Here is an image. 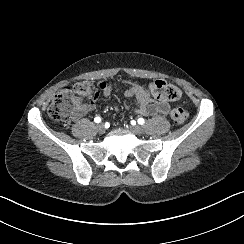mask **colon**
<instances>
[{
    "mask_svg": "<svg viewBox=\"0 0 244 244\" xmlns=\"http://www.w3.org/2000/svg\"><path fill=\"white\" fill-rule=\"evenodd\" d=\"M155 98L178 101L182 98L179 87L164 80H153L144 85ZM98 96V88L90 81H80L65 86L57 94L48 108V115L57 122L66 121L75 110L85 102L94 101ZM170 118L174 123L182 124L187 118V112L181 107H173Z\"/></svg>",
    "mask_w": 244,
    "mask_h": 244,
    "instance_id": "1",
    "label": "colon"
}]
</instances>
